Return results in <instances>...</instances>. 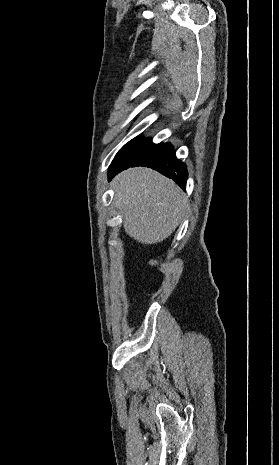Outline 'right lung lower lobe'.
<instances>
[{
    "mask_svg": "<svg viewBox=\"0 0 279 465\" xmlns=\"http://www.w3.org/2000/svg\"><path fill=\"white\" fill-rule=\"evenodd\" d=\"M145 166L157 170L163 175L173 179L180 187L185 189L187 181V169L186 166L176 158L173 149L170 151L157 156L156 158L141 164L128 165L123 167H112L109 168V179L115 176L117 173L128 167Z\"/></svg>",
    "mask_w": 279,
    "mask_h": 465,
    "instance_id": "98d812e1",
    "label": "right lung lower lobe"
}]
</instances>
